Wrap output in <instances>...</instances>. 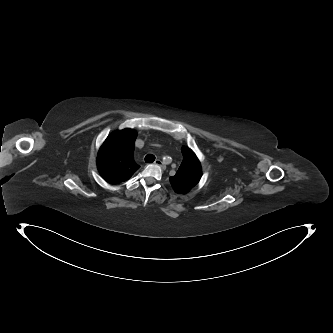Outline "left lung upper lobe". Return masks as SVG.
<instances>
[{
	"label": "left lung upper lobe",
	"instance_id": "5c2ea615",
	"mask_svg": "<svg viewBox=\"0 0 333 333\" xmlns=\"http://www.w3.org/2000/svg\"><path fill=\"white\" fill-rule=\"evenodd\" d=\"M183 161L177 173L170 177V183L176 193H188L201 178V165L195 153L183 146Z\"/></svg>",
	"mask_w": 333,
	"mask_h": 333
}]
</instances>
